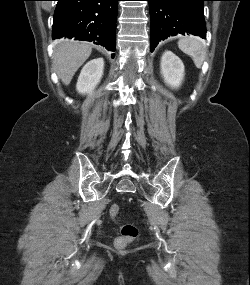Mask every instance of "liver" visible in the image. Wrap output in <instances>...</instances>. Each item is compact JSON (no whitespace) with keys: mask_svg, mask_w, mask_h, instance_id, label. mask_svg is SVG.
<instances>
[{"mask_svg":"<svg viewBox=\"0 0 250 285\" xmlns=\"http://www.w3.org/2000/svg\"><path fill=\"white\" fill-rule=\"evenodd\" d=\"M92 45L69 39L57 40L54 47V67L62 82L69 85L75 72L89 58Z\"/></svg>","mask_w":250,"mask_h":285,"instance_id":"liver-1","label":"liver"}]
</instances>
